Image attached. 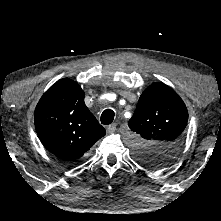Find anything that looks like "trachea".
I'll use <instances>...</instances> for the list:
<instances>
[{
    "label": "trachea",
    "instance_id": "1",
    "mask_svg": "<svg viewBox=\"0 0 221 221\" xmlns=\"http://www.w3.org/2000/svg\"><path fill=\"white\" fill-rule=\"evenodd\" d=\"M115 113L111 109H106L103 111L101 115V123L104 125H109L114 120Z\"/></svg>",
    "mask_w": 221,
    "mask_h": 221
}]
</instances>
